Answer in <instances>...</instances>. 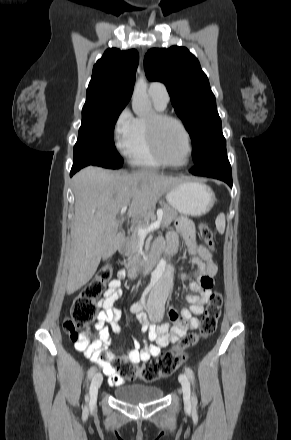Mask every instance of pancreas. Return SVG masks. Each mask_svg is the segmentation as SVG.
I'll list each match as a JSON object with an SVG mask.
<instances>
[{
	"label": "pancreas",
	"instance_id": "pancreas-1",
	"mask_svg": "<svg viewBox=\"0 0 291 440\" xmlns=\"http://www.w3.org/2000/svg\"><path fill=\"white\" fill-rule=\"evenodd\" d=\"M163 217H162V227H168L170 223L177 217L178 212L166 204L165 202H161ZM152 215H148L145 220L139 225V227H147L149 219ZM139 241L140 236L137 233V229L133 231L131 237L125 242L122 251L125 252V256L128 257V262L125 264L127 268H130L132 265H136L139 257Z\"/></svg>",
	"mask_w": 291,
	"mask_h": 440
}]
</instances>
